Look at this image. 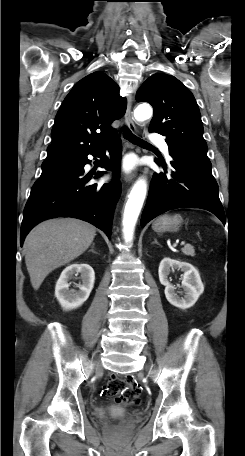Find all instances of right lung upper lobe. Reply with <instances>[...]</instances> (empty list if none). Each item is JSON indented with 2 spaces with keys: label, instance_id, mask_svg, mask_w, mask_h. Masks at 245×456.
I'll use <instances>...</instances> for the list:
<instances>
[{
  "label": "right lung upper lobe",
  "instance_id": "right-lung-upper-lobe-1",
  "mask_svg": "<svg viewBox=\"0 0 245 456\" xmlns=\"http://www.w3.org/2000/svg\"><path fill=\"white\" fill-rule=\"evenodd\" d=\"M126 106L119 87L105 73L94 72L81 79L55 117L42 169L68 165L95 151L114 133L110 125L124 115Z\"/></svg>",
  "mask_w": 245,
  "mask_h": 456
}]
</instances>
